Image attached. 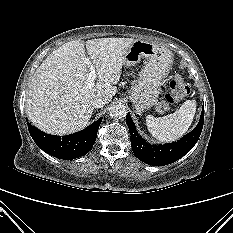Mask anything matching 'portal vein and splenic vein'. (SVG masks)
Masks as SVG:
<instances>
[{
  "label": "portal vein and splenic vein",
  "mask_w": 233,
  "mask_h": 233,
  "mask_svg": "<svg viewBox=\"0 0 233 233\" xmlns=\"http://www.w3.org/2000/svg\"><path fill=\"white\" fill-rule=\"evenodd\" d=\"M84 63H86L90 67V72H89L88 78H87V84H88V86L92 87L94 85V82H95L96 71H95L94 67L91 65L90 58H84Z\"/></svg>",
  "instance_id": "portal-vein-and-splenic-vein-1"
}]
</instances>
